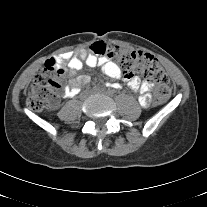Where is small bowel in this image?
Listing matches in <instances>:
<instances>
[{
  "label": "small bowel",
  "mask_w": 207,
  "mask_h": 207,
  "mask_svg": "<svg viewBox=\"0 0 207 207\" xmlns=\"http://www.w3.org/2000/svg\"><path fill=\"white\" fill-rule=\"evenodd\" d=\"M103 43L96 42L95 44ZM87 51L85 49H81L77 51L75 54L72 52H64L61 53L54 58L56 59L59 67L63 70V72H71L74 73L80 70L84 64L89 67H100L102 73L109 78L119 79L124 78L130 87V89L134 92H141L139 96V103L142 107L146 108L151 104V86L146 82H141L137 77L125 78L120 67L112 60H110L105 55L95 54L92 50ZM90 81V77L86 74H81L77 77H71L67 85L63 88V95L65 97H73L77 95L83 86L88 84ZM104 88L106 90H112L115 92H123L125 90V85L123 83H118L116 81H106L104 83Z\"/></svg>",
  "instance_id": "1"
}]
</instances>
